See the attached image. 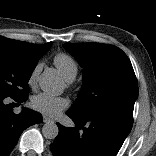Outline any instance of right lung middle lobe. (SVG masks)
Segmentation results:
<instances>
[{
	"label": "right lung middle lobe",
	"mask_w": 156,
	"mask_h": 156,
	"mask_svg": "<svg viewBox=\"0 0 156 156\" xmlns=\"http://www.w3.org/2000/svg\"><path fill=\"white\" fill-rule=\"evenodd\" d=\"M39 59H28L19 52L0 47V94L13 99L28 95V81Z\"/></svg>",
	"instance_id": "1"
}]
</instances>
